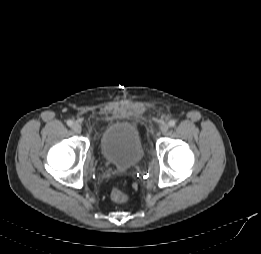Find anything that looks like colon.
<instances>
[{
    "label": "colon",
    "mask_w": 261,
    "mask_h": 254,
    "mask_svg": "<svg viewBox=\"0 0 261 254\" xmlns=\"http://www.w3.org/2000/svg\"><path fill=\"white\" fill-rule=\"evenodd\" d=\"M112 201L116 203H124L128 199V195L119 189H113L110 193Z\"/></svg>",
    "instance_id": "1"
}]
</instances>
